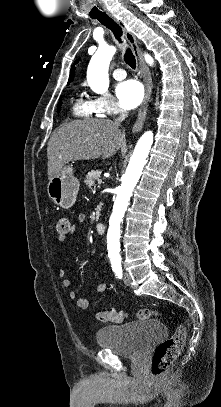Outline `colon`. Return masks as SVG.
Segmentation results:
<instances>
[{"instance_id": "colon-1", "label": "colon", "mask_w": 221, "mask_h": 407, "mask_svg": "<svg viewBox=\"0 0 221 407\" xmlns=\"http://www.w3.org/2000/svg\"><path fill=\"white\" fill-rule=\"evenodd\" d=\"M56 231L60 236H66L70 232V222L66 217H60L57 220ZM158 316V313L152 309L144 308L136 312L139 320H149ZM126 317L122 311L114 309L102 310L97 314L98 320L106 323H120ZM186 336V329L183 325H177L174 334L162 341L155 349L152 360V374L154 376L163 375L171 366L173 361L180 354Z\"/></svg>"}]
</instances>
